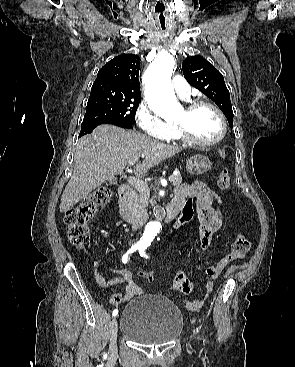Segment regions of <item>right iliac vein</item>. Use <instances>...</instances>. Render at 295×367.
<instances>
[{"mask_svg": "<svg viewBox=\"0 0 295 367\" xmlns=\"http://www.w3.org/2000/svg\"><path fill=\"white\" fill-rule=\"evenodd\" d=\"M111 327V337H110V346L109 352L110 356H115L117 354V332H118V325L117 320L114 317L110 323Z\"/></svg>", "mask_w": 295, "mask_h": 367, "instance_id": "63e3f726", "label": "right iliac vein"}]
</instances>
